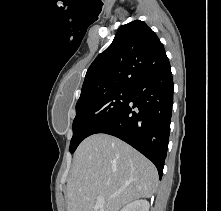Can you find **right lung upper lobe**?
<instances>
[{"mask_svg": "<svg viewBox=\"0 0 221 211\" xmlns=\"http://www.w3.org/2000/svg\"><path fill=\"white\" fill-rule=\"evenodd\" d=\"M170 67L163 44L140 20L122 25L111 45L87 70L79 99L131 88L140 79Z\"/></svg>", "mask_w": 221, "mask_h": 211, "instance_id": "cb5924a9", "label": "right lung upper lobe"}]
</instances>
